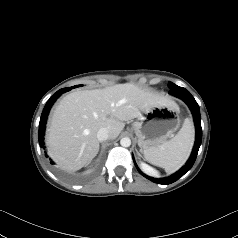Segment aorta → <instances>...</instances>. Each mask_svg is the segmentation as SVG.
<instances>
[{
	"instance_id": "aorta-1",
	"label": "aorta",
	"mask_w": 238,
	"mask_h": 238,
	"mask_svg": "<svg viewBox=\"0 0 238 238\" xmlns=\"http://www.w3.org/2000/svg\"><path fill=\"white\" fill-rule=\"evenodd\" d=\"M120 144L123 147H129L131 145V139L128 137H124L120 140Z\"/></svg>"
}]
</instances>
